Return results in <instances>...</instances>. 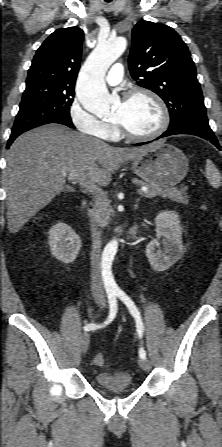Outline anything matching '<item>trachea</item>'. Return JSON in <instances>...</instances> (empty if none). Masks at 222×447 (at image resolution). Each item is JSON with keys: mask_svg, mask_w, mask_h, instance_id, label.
<instances>
[{"mask_svg": "<svg viewBox=\"0 0 222 447\" xmlns=\"http://www.w3.org/2000/svg\"><path fill=\"white\" fill-rule=\"evenodd\" d=\"M106 2H110V1H112V0H105Z\"/></svg>", "mask_w": 222, "mask_h": 447, "instance_id": "trachea-1", "label": "trachea"}]
</instances>
